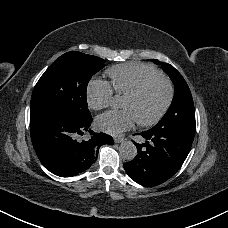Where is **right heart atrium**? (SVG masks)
<instances>
[{
    "label": "right heart atrium",
    "mask_w": 228,
    "mask_h": 228,
    "mask_svg": "<svg viewBox=\"0 0 228 228\" xmlns=\"http://www.w3.org/2000/svg\"><path fill=\"white\" fill-rule=\"evenodd\" d=\"M87 98L89 106L94 110L108 107L114 100L112 86L106 81H94L88 86Z\"/></svg>",
    "instance_id": "d8ad5b80"
}]
</instances>
